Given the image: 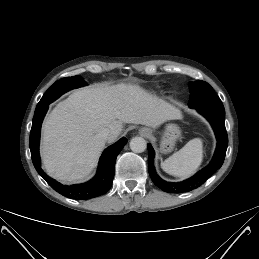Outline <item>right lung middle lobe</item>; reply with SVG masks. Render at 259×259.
Returning <instances> with one entry per match:
<instances>
[{
	"label": "right lung middle lobe",
	"instance_id": "dd1d6c3e",
	"mask_svg": "<svg viewBox=\"0 0 259 259\" xmlns=\"http://www.w3.org/2000/svg\"><path fill=\"white\" fill-rule=\"evenodd\" d=\"M84 85H86V83L79 76L62 78L48 88V90L45 92L40 102L38 103L36 109L41 108L45 105H49L51 102L56 100L68 90Z\"/></svg>",
	"mask_w": 259,
	"mask_h": 259
}]
</instances>
